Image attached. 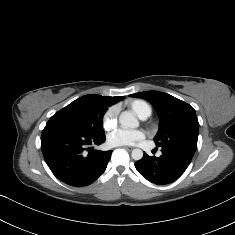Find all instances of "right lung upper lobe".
<instances>
[{
  "mask_svg": "<svg viewBox=\"0 0 235 235\" xmlns=\"http://www.w3.org/2000/svg\"><path fill=\"white\" fill-rule=\"evenodd\" d=\"M123 96L107 97L96 94L85 95L77 99V101L96 111L105 112L109 106L122 100Z\"/></svg>",
  "mask_w": 235,
  "mask_h": 235,
  "instance_id": "cb5924a9",
  "label": "right lung upper lobe"
}]
</instances>
